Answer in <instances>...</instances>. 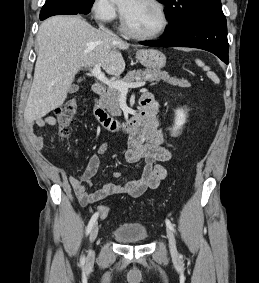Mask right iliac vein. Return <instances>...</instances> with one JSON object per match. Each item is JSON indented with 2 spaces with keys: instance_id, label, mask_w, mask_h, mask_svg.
Masks as SVG:
<instances>
[{
  "instance_id": "obj_1",
  "label": "right iliac vein",
  "mask_w": 259,
  "mask_h": 283,
  "mask_svg": "<svg viewBox=\"0 0 259 283\" xmlns=\"http://www.w3.org/2000/svg\"><path fill=\"white\" fill-rule=\"evenodd\" d=\"M98 231H99V226L96 224V225L93 227V229H92V231H91V233H90V236H89V240H90V243H91V247H90V249H89V251H88V257H89L90 259H92V258L94 257V250L92 249V243L95 241V239H96V237H97V235H98Z\"/></svg>"
}]
</instances>
